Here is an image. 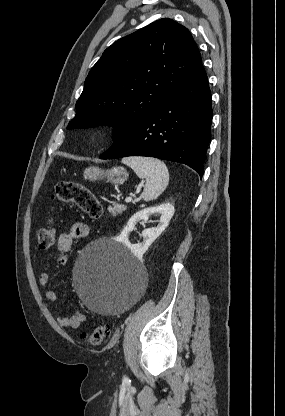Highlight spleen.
Instances as JSON below:
<instances>
[{"instance_id":"1","label":"spleen","mask_w":285,"mask_h":416,"mask_svg":"<svg viewBox=\"0 0 285 416\" xmlns=\"http://www.w3.org/2000/svg\"><path fill=\"white\" fill-rule=\"evenodd\" d=\"M122 164H126L129 168H132L138 178H146V184L142 194L145 202L157 200L158 196L166 190L169 182V172L167 166L161 160L131 156V158H122Z\"/></svg>"}]
</instances>
